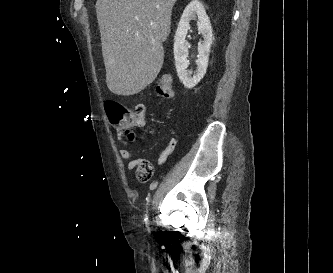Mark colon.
<instances>
[{
    "label": "colon",
    "instance_id": "obj_1",
    "mask_svg": "<svg viewBox=\"0 0 333 273\" xmlns=\"http://www.w3.org/2000/svg\"><path fill=\"white\" fill-rule=\"evenodd\" d=\"M156 91L163 98L173 96V79L169 74H164L158 79ZM105 109L116 133L130 140L133 139V129L137 127V120L132 110L116 101H107ZM135 169L136 177L140 182H147L153 175V166L148 160H138Z\"/></svg>",
    "mask_w": 333,
    "mask_h": 273
}]
</instances>
